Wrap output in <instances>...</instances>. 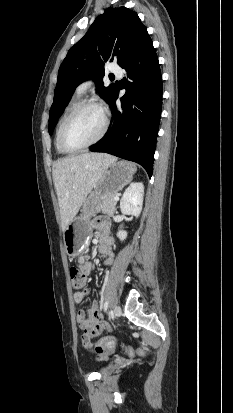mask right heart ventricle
Returning <instances> with one entry per match:
<instances>
[{"mask_svg": "<svg viewBox=\"0 0 233 413\" xmlns=\"http://www.w3.org/2000/svg\"><path fill=\"white\" fill-rule=\"evenodd\" d=\"M80 102V95H75L73 96V98L69 101V103L67 104V106L65 107L59 121L57 124V128H56V133H55V146L56 149L59 153L64 154L66 152H64L60 145H59V131L61 128L62 123L64 122L65 118L68 116V114L72 111V109Z\"/></svg>", "mask_w": 233, "mask_h": 413, "instance_id": "right-heart-ventricle-1", "label": "right heart ventricle"}]
</instances>
